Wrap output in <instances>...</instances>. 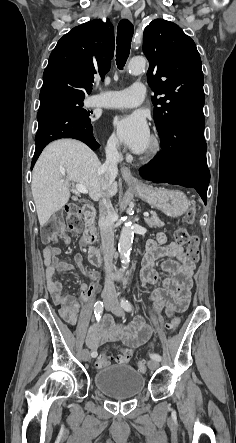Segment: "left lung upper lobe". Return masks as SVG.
I'll return each instance as SVG.
<instances>
[{
  "label": "left lung upper lobe",
  "mask_w": 236,
  "mask_h": 443,
  "mask_svg": "<svg viewBox=\"0 0 236 443\" xmlns=\"http://www.w3.org/2000/svg\"><path fill=\"white\" fill-rule=\"evenodd\" d=\"M143 52L149 61L147 80L155 93L152 101L159 133L176 115L203 111L201 58L194 41L178 25L153 20L144 30Z\"/></svg>",
  "instance_id": "5c2ea615"
}]
</instances>
